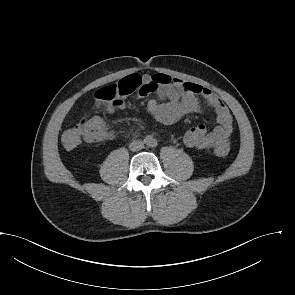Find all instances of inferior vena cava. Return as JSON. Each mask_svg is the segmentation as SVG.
<instances>
[{"label": "inferior vena cava", "instance_id": "inferior-vena-cava-1", "mask_svg": "<svg viewBox=\"0 0 295 295\" xmlns=\"http://www.w3.org/2000/svg\"><path fill=\"white\" fill-rule=\"evenodd\" d=\"M144 148V143L141 140H134L129 145V149L133 152L140 151Z\"/></svg>", "mask_w": 295, "mask_h": 295}]
</instances>
